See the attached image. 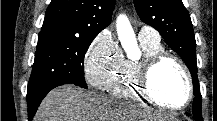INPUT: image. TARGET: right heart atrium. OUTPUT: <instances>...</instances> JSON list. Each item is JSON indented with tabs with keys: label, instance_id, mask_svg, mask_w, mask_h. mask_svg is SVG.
<instances>
[{
	"label": "right heart atrium",
	"instance_id": "obj_1",
	"mask_svg": "<svg viewBox=\"0 0 217 121\" xmlns=\"http://www.w3.org/2000/svg\"><path fill=\"white\" fill-rule=\"evenodd\" d=\"M123 55L111 33L104 30L97 35L85 56V76L98 89L107 88L123 63Z\"/></svg>",
	"mask_w": 217,
	"mask_h": 121
}]
</instances>
